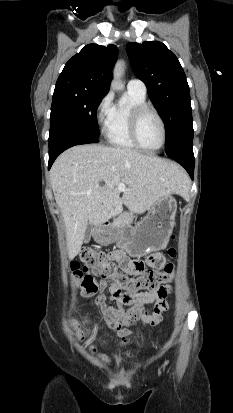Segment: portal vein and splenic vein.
Listing matches in <instances>:
<instances>
[{
	"label": "portal vein and splenic vein",
	"instance_id": "18ae733b",
	"mask_svg": "<svg viewBox=\"0 0 233 413\" xmlns=\"http://www.w3.org/2000/svg\"><path fill=\"white\" fill-rule=\"evenodd\" d=\"M117 189H118V192H123V191L127 190L124 183H120V184L118 185V188H117Z\"/></svg>",
	"mask_w": 233,
	"mask_h": 413
}]
</instances>
